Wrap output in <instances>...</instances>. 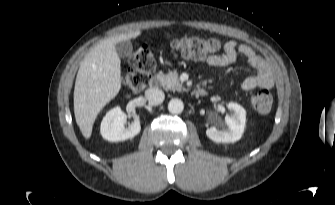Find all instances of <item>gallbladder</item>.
<instances>
[{
    "mask_svg": "<svg viewBox=\"0 0 335 205\" xmlns=\"http://www.w3.org/2000/svg\"><path fill=\"white\" fill-rule=\"evenodd\" d=\"M115 51L120 57H128L132 53V44L128 41L119 42L115 45Z\"/></svg>",
    "mask_w": 335,
    "mask_h": 205,
    "instance_id": "obj_1",
    "label": "gallbladder"
}]
</instances>
